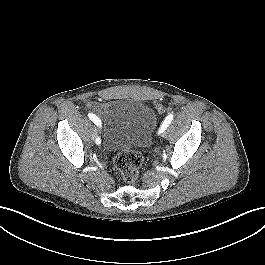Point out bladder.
Instances as JSON below:
<instances>
[{
	"label": "bladder",
	"mask_w": 265,
	"mask_h": 265,
	"mask_svg": "<svg viewBox=\"0 0 265 265\" xmlns=\"http://www.w3.org/2000/svg\"><path fill=\"white\" fill-rule=\"evenodd\" d=\"M104 120V147L127 151L146 148L156 124V114L147 104L129 99L108 102Z\"/></svg>",
	"instance_id": "31cf9c89"
}]
</instances>
